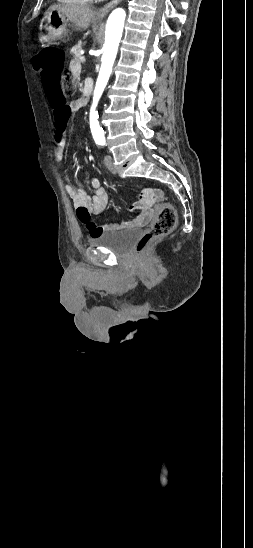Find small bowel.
<instances>
[{
	"mask_svg": "<svg viewBox=\"0 0 253 548\" xmlns=\"http://www.w3.org/2000/svg\"><path fill=\"white\" fill-rule=\"evenodd\" d=\"M68 71L73 77H77L80 72V65L76 61H71L68 67ZM86 104L84 98L73 101L69 107V113L71 111L80 109ZM54 108L55 105H52ZM66 132H61L59 126L56 125V132L54 135V142L56 144L54 150V156L57 161H62L65 157V146L67 140ZM60 135L61 139L57 140L56 136ZM91 185L94 188L92 194H87L83 189L77 188L73 185L66 186V192L72 200L74 206L77 208V217L86 228L91 236H97L109 231L120 230L124 228L136 227L145 225L153 217L154 211L151 207V194L150 190H144L140 198L132 205V210L137 213V217L133 220L122 223H109L105 225H97L92 221L91 214H102L109 205V194L107 190L101 186L99 181L92 177Z\"/></svg>",
	"mask_w": 253,
	"mask_h": 548,
	"instance_id": "c3829d8e",
	"label": "small bowel"
}]
</instances>
